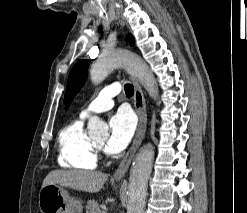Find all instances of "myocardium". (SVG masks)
Here are the masks:
<instances>
[{
	"label": "myocardium",
	"mask_w": 247,
	"mask_h": 213,
	"mask_svg": "<svg viewBox=\"0 0 247 213\" xmlns=\"http://www.w3.org/2000/svg\"><path fill=\"white\" fill-rule=\"evenodd\" d=\"M92 145L96 154L98 155L102 154L103 152L102 146L97 145L95 142H92Z\"/></svg>",
	"instance_id": "1"
}]
</instances>
